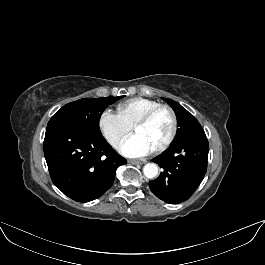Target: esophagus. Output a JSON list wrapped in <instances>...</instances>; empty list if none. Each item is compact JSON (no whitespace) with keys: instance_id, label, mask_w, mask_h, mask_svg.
Here are the masks:
<instances>
[{"instance_id":"34e87169","label":"esophagus","mask_w":265,"mask_h":265,"mask_svg":"<svg viewBox=\"0 0 265 265\" xmlns=\"http://www.w3.org/2000/svg\"><path fill=\"white\" fill-rule=\"evenodd\" d=\"M130 164H138V165H142L144 162L143 161H140V160H129L128 161Z\"/></svg>"}]
</instances>
